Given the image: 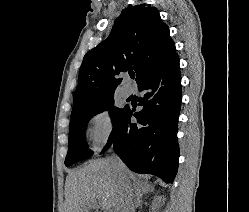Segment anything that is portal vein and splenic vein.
<instances>
[{"instance_id": "obj_1", "label": "portal vein and splenic vein", "mask_w": 249, "mask_h": 212, "mask_svg": "<svg viewBox=\"0 0 249 212\" xmlns=\"http://www.w3.org/2000/svg\"><path fill=\"white\" fill-rule=\"evenodd\" d=\"M92 208H98L97 202H92Z\"/></svg>"}]
</instances>
